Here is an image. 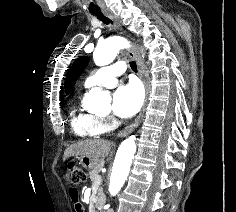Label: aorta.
I'll list each match as a JSON object with an SVG mask.
<instances>
[{
  "instance_id": "obj_1",
  "label": "aorta",
  "mask_w": 236,
  "mask_h": 212,
  "mask_svg": "<svg viewBox=\"0 0 236 212\" xmlns=\"http://www.w3.org/2000/svg\"><path fill=\"white\" fill-rule=\"evenodd\" d=\"M127 41L119 36H114L101 42L93 53L96 65L104 66L110 64L120 49L127 46ZM85 106L95 109L102 104L110 102V96L100 88H92L84 98ZM136 151L135 137L130 136L125 139L118 148L112 173L110 177L108 191L111 196H116L123 187L130 171L133 156Z\"/></svg>"
}]
</instances>
